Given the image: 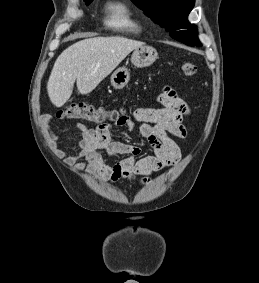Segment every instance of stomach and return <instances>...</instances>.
Wrapping results in <instances>:
<instances>
[{
  "instance_id": "0dacf381",
  "label": "stomach",
  "mask_w": 259,
  "mask_h": 283,
  "mask_svg": "<svg viewBox=\"0 0 259 283\" xmlns=\"http://www.w3.org/2000/svg\"><path fill=\"white\" fill-rule=\"evenodd\" d=\"M158 53L151 46H141L136 48L131 55V62L134 66L142 68L150 66L156 59ZM130 80V72L126 67H120L111 75V85L115 89H122Z\"/></svg>"
}]
</instances>
